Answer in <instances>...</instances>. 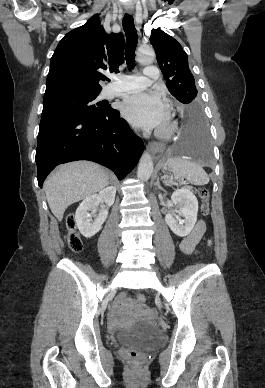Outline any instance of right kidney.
<instances>
[{"instance_id":"ca27d5eb","label":"right kidney","mask_w":265,"mask_h":388,"mask_svg":"<svg viewBox=\"0 0 265 388\" xmlns=\"http://www.w3.org/2000/svg\"><path fill=\"white\" fill-rule=\"evenodd\" d=\"M115 196L116 188L109 186V188L101 190L99 194L88 196L78 206L75 214V222L84 238H92V236H95L101 230L102 224L107 220V208L113 206ZM100 202H105L106 206H101L102 210H99V214H96V206H99Z\"/></svg>"}]
</instances>
